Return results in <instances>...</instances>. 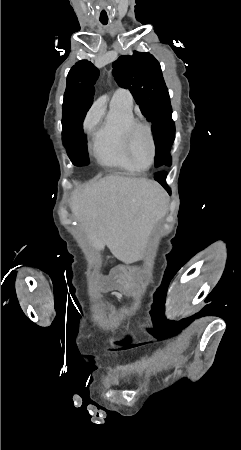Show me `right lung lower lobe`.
<instances>
[{
	"label": "right lung lower lobe",
	"mask_w": 241,
	"mask_h": 450,
	"mask_svg": "<svg viewBox=\"0 0 241 450\" xmlns=\"http://www.w3.org/2000/svg\"><path fill=\"white\" fill-rule=\"evenodd\" d=\"M86 112L78 117L72 124V127L67 135L68 141V155L87 150L86 142L83 137V120Z\"/></svg>",
	"instance_id": "right-lung-lower-lobe-1"
}]
</instances>
